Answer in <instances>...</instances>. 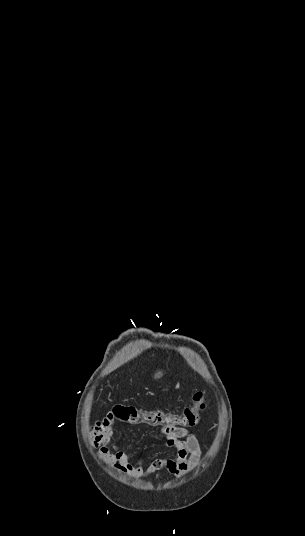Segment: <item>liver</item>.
Returning <instances> with one entry per match:
<instances>
[{
    "label": "liver",
    "mask_w": 305,
    "mask_h": 536,
    "mask_svg": "<svg viewBox=\"0 0 305 536\" xmlns=\"http://www.w3.org/2000/svg\"><path fill=\"white\" fill-rule=\"evenodd\" d=\"M162 374L161 372H158V374H156L155 378H161Z\"/></svg>",
    "instance_id": "liver-1"
}]
</instances>
